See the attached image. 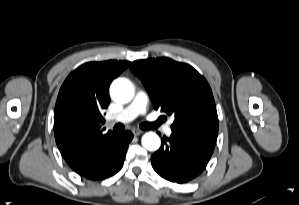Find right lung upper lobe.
Returning <instances> with one entry per match:
<instances>
[{
  "instance_id": "right-lung-upper-lobe-1",
  "label": "right lung upper lobe",
  "mask_w": 299,
  "mask_h": 205,
  "mask_svg": "<svg viewBox=\"0 0 299 205\" xmlns=\"http://www.w3.org/2000/svg\"><path fill=\"white\" fill-rule=\"evenodd\" d=\"M129 64L116 60L85 63L61 86L54 110V133L59 151L71 167L88 150L114 135L102 133V111L110 102V83Z\"/></svg>"
}]
</instances>
